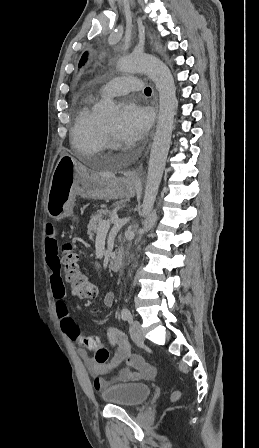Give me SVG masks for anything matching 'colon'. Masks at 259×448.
Masks as SVG:
<instances>
[{"instance_id": "colon-1", "label": "colon", "mask_w": 259, "mask_h": 448, "mask_svg": "<svg viewBox=\"0 0 259 448\" xmlns=\"http://www.w3.org/2000/svg\"><path fill=\"white\" fill-rule=\"evenodd\" d=\"M63 250V264L65 267L66 280L71 287L72 294L78 299L93 298L97 294L95 285L90 279L85 276L79 268V256L72 249L70 244H64ZM81 344L87 349L93 351L94 360L97 363L105 364L112 360L110 352L102 346L100 339L96 335L84 336ZM179 398V392L175 391L172 394V401Z\"/></svg>"}]
</instances>
